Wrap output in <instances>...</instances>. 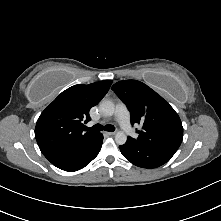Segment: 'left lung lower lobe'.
I'll return each mask as SVG.
<instances>
[{"instance_id": "0a47b994", "label": "left lung lower lobe", "mask_w": 221, "mask_h": 221, "mask_svg": "<svg viewBox=\"0 0 221 221\" xmlns=\"http://www.w3.org/2000/svg\"><path fill=\"white\" fill-rule=\"evenodd\" d=\"M119 148L122 155L132 164L147 169L165 164L176 152L165 148L143 146L129 139Z\"/></svg>"}]
</instances>
